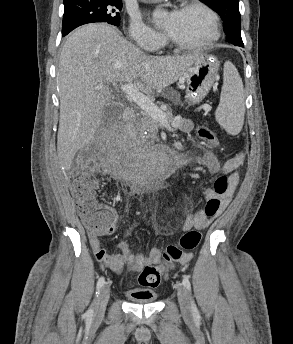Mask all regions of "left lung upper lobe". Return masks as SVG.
Here are the masks:
<instances>
[{"instance_id":"1","label":"left lung upper lobe","mask_w":293,"mask_h":344,"mask_svg":"<svg viewBox=\"0 0 293 344\" xmlns=\"http://www.w3.org/2000/svg\"><path fill=\"white\" fill-rule=\"evenodd\" d=\"M215 10L224 21L226 40L233 45L243 47L241 38L239 0H200Z\"/></svg>"}]
</instances>
